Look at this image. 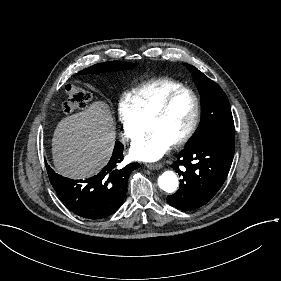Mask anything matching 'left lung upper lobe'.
Segmentation results:
<instances>
[{
	"label": "left lung upper lobe",
	"mask_w": 281,
	"mask_h": 281,
	"mask_svg": "<svg viewBox=\"0 0 281 281\" xmlns=\"http://www.w3.org/2000/svg\"><path fill=\"white\" fill-rule=\"evenodd\" d=\"M191 72L201 96V121L187 145L205 139L234 146V121L229 100L223 90L194 66L184 64Z\"/></svg>",
	"instance_id": "left-lung-upper-lobe-1"
}]
</instances>
